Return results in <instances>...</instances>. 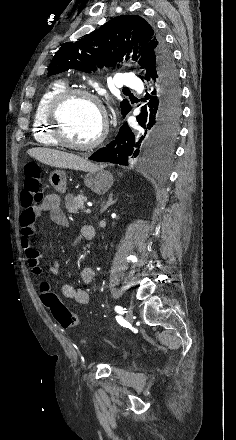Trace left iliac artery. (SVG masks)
<instances>
[{"label": "left iliac artery", "instance_id": "obj_1", "mask_svg": "<svg viewBox=\"0 0 236 440\" xmlns=\"http://www.w3.org/2000/svg\"><path fill=\"white\" fill-rule=\"evenodd\" d=\"M115 311L117 312V313H119V314H124V313H126V311H125V309L124 308H122L121 306H115Z\"/></svg>", "mask_w": 236, "mask_h": 440}]
</instances>
